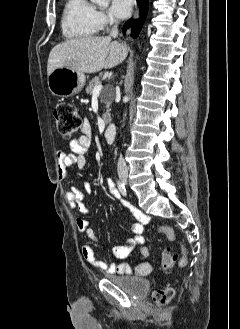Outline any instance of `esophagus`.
<instances>
[{"label": "esophagus", "instance_id": "esophagus-1", "mask_svg": "<svg viewBox=\"0 0 240 329\" xmlns=\"http://www.w3.org/2000/svg\"><path fill=\"white\" fill-rule=\"evenodd\" d=\"M134 17H135V18L138 17V6H137V5H136V7H135Z\"/></svg>", "mask_w": 240, "mask_h": 329}]
</instances>
